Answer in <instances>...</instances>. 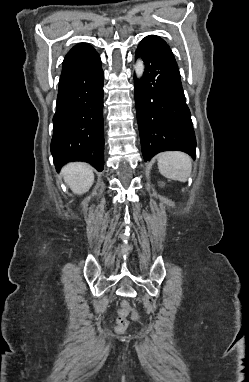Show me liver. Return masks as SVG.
Returning a JSON list of instances; mask_svg holds the SVG:
<instances>
[{
    "instance_id": "liver-1",
    "label": "liver",
    "mask_w": 249,
    "mask_h": 382,
    "mask_svg": "<svg viewBox=\"0 0 249 382\" xmlns=\"http://www.w3.org/2000/svg\"><path fill=\"white\" fill-rule=\"evenodd\" d=\"M65 183L76 194L86 193L94 182L93 169L86 163H70L62 169Z\"/></svg>"
}]
</instances>
